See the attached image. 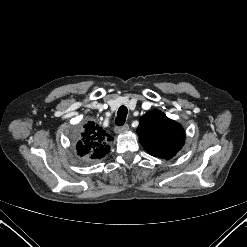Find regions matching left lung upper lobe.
<instances>
[{
	"instance_id": "left-lung-upper-lobe-1",
	"label": "left lung upper lobe",
	"mask_w": 247,
	"mask_h": 247,
	"mask_svg": "<svg viewBox=\"0 0 247 247\" xmlns=\"http://www.w3.org/2000/svg\"><path fill=\"white\" fill-rule=\"evenodd\" d=\"M137 133L142 146L150 155L164 159L175 156L185 140L182 126L157 110L141 117Z\"/></svg>"
}]
</instances>
